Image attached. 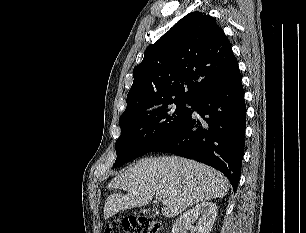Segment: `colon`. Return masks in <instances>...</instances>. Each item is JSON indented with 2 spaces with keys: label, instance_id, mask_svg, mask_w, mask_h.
<instances>
[{
  "label": "colon",
  "instance_id": "1",
  "mask_svg": "<svg viewBox=\"0 0 306 233\" xmlns=\"http://www.w3.org/2000/svg\"><path fill=\"white\" fill-rule=\"evenodd\" d=\"M161 223L153 217L138 216L106 223L103 233H160Z\"/></svg>",
  "mask_w": 306,
  "mask_h": 233
}]
</instances>
